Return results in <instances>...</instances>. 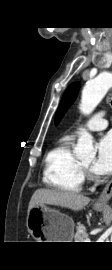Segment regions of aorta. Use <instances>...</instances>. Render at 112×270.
Segmentation results:
<instances>
[{
    "label": "aorta",
    "instance_id": "aorta-1",
    "mask_svg": "<svg viewBox=\"0 0 112 270\" xmlns=\"http://www.w3.org/2000/svg\"><path fill=\"white\" fill-rule=\"evenodd\" d=\"M111 87L112 74L109 73H102L88 82L82 91L80 111L85 115L92 113ZM74 154L79 159H93L96 155V150L93 147V137L84 129L80 132Z\"/></svg>",
    "mask_w": 112,
    "mask_h": 270
}]
</instances>
